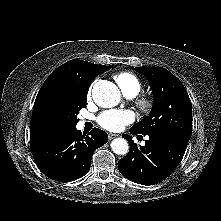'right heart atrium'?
I'll list each match as a JSON object with an SVG mask.
<instances>
[{"instance_id":"right-heart-atrium-1","label":"right heart atrium","mask_w":221,"mask_h":221,"mask_svg":"<svg viewBox=\"0 0 221 221\" xmlns=\"http://www.w3.org/2000/svg\"><path fill=\"white\" fill-rule=\"evenodd\" d=\"M91 94H92V86H91V88L89 89L88 96H91Z\"/></svg>"}]
</instances>
